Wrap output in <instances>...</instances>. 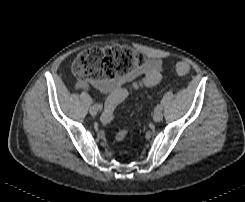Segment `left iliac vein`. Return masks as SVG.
I'll return each instance as SVG.
<instances>
[{
    "label": "left iliac vein",
    "instance_id": "4c4485c4",
    "mask_svg": "<svg viewBox=\"0 0 245 202\" xmlns=\"http://www.w3.org/2000/svg\"><path fill=\"white\" fill-rule=\"evenodd\" d=\"M162 118H163V114H162L161 111H156V112L154 113L153 120H154L155 122H160V121L162 120Z\"/></svg>",
    "mask_w": 245,
    "mask_h": 202
}]
</instances>
